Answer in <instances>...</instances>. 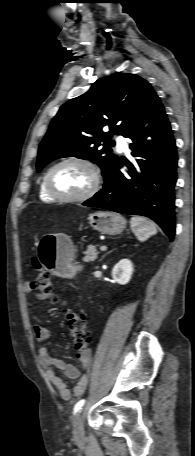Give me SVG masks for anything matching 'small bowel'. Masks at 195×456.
<instances>
[{"label": "small bowel", "instance_id": "small-bowel-1", "mask_svg": "<svg viewBox=\"0 0 195 456\" xmlns=\"http://www.w3.org/2000/svg\"><path fill=\"white\" fill-rule=\"evenodd\" d=\"M23 289L24 292L27 294L31 292V287L27 284L24 285ZM36 297L39 300L53 299L58 301L62 298V295L58 293H39L36 295ZM35 333L37 339L41 342L46 341L49 336L47 328L41 325L35 326ZM90 358L91 351L87 350L86 355L80 359L84 368H88L90 366ZM39 359L48 379L50 380V382L52 383V385L54 386V388L56 389V391L62 399L69 400L73 396H79L85 391L88 382V377L86 374L81 373L74 365L68 364L63 360L53 356L46 346L40 347ZM55 369L61 370L66 377L76 381V385L73 389V392L68 388L67 384L59 376L55 374Z\"/></svg>", "mask_w": 195, "mask_h": 456}]
</instances>
